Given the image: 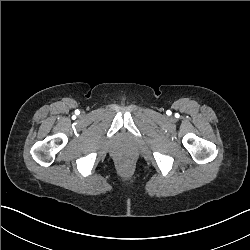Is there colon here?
I'll use <instances>...</instances> for the list:
<instances>
[{"mask_svg":"<svg viewBox=\"0 0 250 250\" xmlns=\"http://www.w3.org/2000/svg\"><path fill=\"white\" fill-rule=\"evenodd\" d=\"M136 170V163L133 158L123 157L118 160L117 171L121 176L134 174Z\"/></svg>","mask_w":250,"mask_h":250,"instance_id":"1","label":"colon"}]
</instances>
